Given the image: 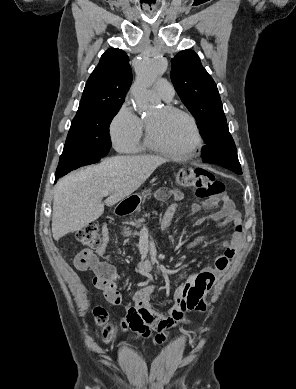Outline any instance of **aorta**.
Segmentation results:
<instances>
[{
	"label": "aorta",
	"instance_id": "aorta-1",
	"mask_svg": "<svg viewBox=\"0 0 296 389\" xmlns=\"http://www.w3.org/2000/svg\"><path fill=\"white\" fill-rule=\"evenodd\" d=\"M167 67V59L159 52H152L137 68L132 89L133 102L137 110L145 111L154 104L150 87L166 72Z\"/></svg>",
	"mask_w": 296,
	"mask_h": 389
}]
</instances>
